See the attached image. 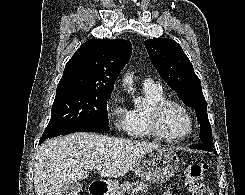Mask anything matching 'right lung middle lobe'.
I'll list each match as a JSON object with an SVG mask.
<instances>
[{
    "mask_svg": "<svg viewBox=\"0 0 245 195\" xmlns=\"http://www.w3.org/2000/svg\"><path fill=\"white\" fill-rule=\"evenodd\" d=\"M111 92L96 89L56 93L51 119L40 141L64 135L88 124H109L107 101Z\"/></svg>",
    "mask_w": 245,
    "mask_h": 195,
    "instance_id": "obj_1",
    "label": "right lung middle lobe"
}]
</instances>
